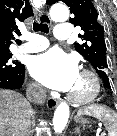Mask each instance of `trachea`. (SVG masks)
Returning a JSON list of instances; mask_svg holds the SVG:
<instances>
[{
	"instance_id": "obj_1",
	"label": "trachea",
	"mask_w": 117,
	"mask_h": 136,
	"mask_svg": "<svg viewBox=\"0 0 117 136\" xmlns=\"http://www.w3.org/2000/svg\"><path fill=\"white\" fill-rule=\"evenodd\" d=\"M33 30L35 32H44V33H49V28H48V25L46 23H37V22H34L33 24Z\"/></svg>"
}]
</instances>
